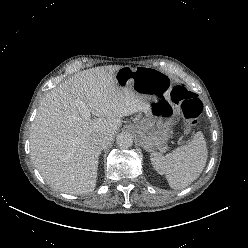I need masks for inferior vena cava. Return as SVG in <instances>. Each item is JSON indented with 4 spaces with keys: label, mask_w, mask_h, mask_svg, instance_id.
<instances>
[{
    "label": "inferior vena cava",
    "mask_w": 248,
    "mask_h": 248,
    "mask_svg": "<svg viewBox=\"0 0 248 248\" xmlns=\"http://www.w3.org/2000/svg\"><path fill=\"white\" fill-rule=\"evenodd\" d=\"M110 140L111 138L108 135L102 134L94 138L93 144L102 150V149H105L109 145Z\"/></svg>",
    "instance_id": "602c4592"
}]
</instances>
